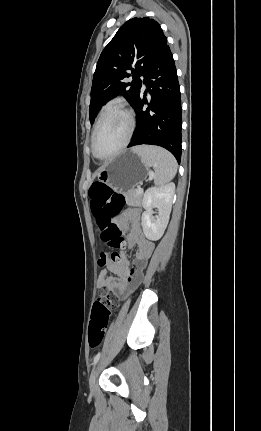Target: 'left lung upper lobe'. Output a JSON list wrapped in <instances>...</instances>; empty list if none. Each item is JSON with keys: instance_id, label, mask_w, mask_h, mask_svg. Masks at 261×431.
<instances>
[{"instance_id": "5c2ea615", "label": "left lung upper lobe", "mask_w": 261, "mask_h": 431, "mask_svg": "<svg viewBox=\"0 0 261 431\" xmlns=\"http://www.w3.org/2000/svg\"><path fill=\"white\" fill-rule=\"evenodd\" d=\"M167 45L160 25L150 18H132L115 34L102 51L93 75L90 122L112 97L121 94L134 107L150 65ZM131 70L132 74L129 73ZM132 76L131 83L124 80Z\"/></svg>"}]
</instances>
